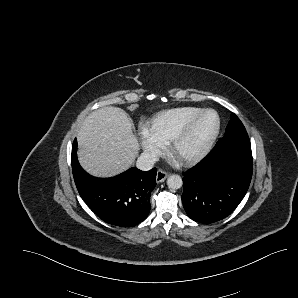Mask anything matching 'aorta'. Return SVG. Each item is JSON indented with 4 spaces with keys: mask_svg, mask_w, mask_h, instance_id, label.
<instances>
[{
    "mask_svg": "<svg viewBox=\"0 0 298 298\" xmlns=\"http://www.w3.org/2000/svg\"><path fill=\"white\" fill-rule=\"evenodd\" d=\"M166 184L170 189H179L183 185V180L179 174L173 173L167 176Z\"/></svg>",
    "mask_w": 298,
    "mask_h": 298,
    "instance_id": "1",
    "label": "aorta"
}]
</instances>
